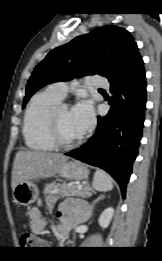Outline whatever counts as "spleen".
Instances as JSON below:
<instances>
[{
	"instance_id": "1",
	"label": "spleen",
	"mask_w": 162,
	"mask_h": 261,
	"mask_svg": "<svg viewBox=\"0 0 162 261\" xmlns=\"http://www.w3.org/2000/svg\"><path fill=\"white\" fill-rule=\"evenodd\" d=\"M93 188L100 192H106L113 189V180L111 176L101 169H97L93 178Z\"/></svg>"
}]
</instances>
